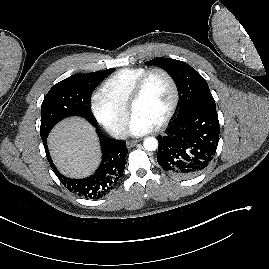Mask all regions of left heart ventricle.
I'll return each mask as SVG.
<instances>
[{"label": "left heart ventricle", "mask_w": 269, "mask_h": 269, "mask_svg": "<svg viewBox=\"0 0 269 269\" xmlns=\"http://www.w3.org/2000/svg\"><path fill=\"white\" fill-rule=\"evenodd\" d=\"M171 101L172 88L168 79L156 73L150 77L142 97L133 107L132 114L155 126L167 113Z\"/></svg>", "instance_id": "b2bd125f"}]
</instances>
